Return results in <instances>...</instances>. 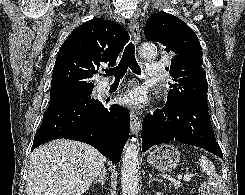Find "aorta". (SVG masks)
Here are the masks:
<instances>
[{"instance_id":"obj_1","label":"aorta","mask_w":245,"mask_h":195,"mask_svg":"<svg viewBox=\"0 0 245 195\" xmlns=\"http://www.w3.org/2000/svg\"><path fill=\"white\" fill-rule=\"evenodd\" d=\"M157 51L153 44H143L140 54L144 58L155 57ZM139 144L136 138H131L125 148L122 158L121 186L122 195H137L139 185Z\"/></svg>"}]
</instances>
